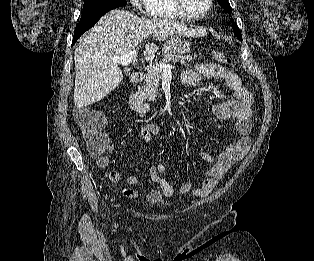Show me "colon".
<instances>
[{
  "label": "colon",
  "mask_w": 314,
  "mask_h": 261,
  "mask_svg": "<svg viewBox=\"0 0 314 261\" xmlns=\"http://www.w3.org/2000/svg\"><path fill=\"white\" fill-rule=\"evenodd\" d=\"M213 55L220 62L229 65L233 63L232 58L223 50H215ZM73 117L82 132L89 152L97 157L108 152L110 142L106 134L101 130L104 122L102 113L93 108L78 107L74 110Z\"/></svg>",
  "instance_id": "obj_1"
}]
</instances>
